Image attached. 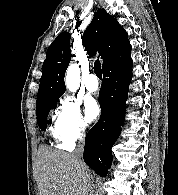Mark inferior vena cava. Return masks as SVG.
I'll return each instance as SVG.
<instances>
[{
    "label": "inferior vena cava",
    "instance_id": "inferior-vena-cava-1",
    "mask_svg": "<svg viewBox=\"0 0 178 195\" xmlns=\"http://www.w3.org/2000/svg\"><path fill=\"white\" fill-rule=\"evenodd\" d=\"M83 149H84V136H81L78 141L77 148L73 152V156L77 160L78 164L81 167V170L85 173L87 177H89L88 170L86 165L84 164L82 160V155H83ZM89 195H96L95 194V186L93 183L90 184V192Z\"/></svg>",
    "mask_w": 178,
    "mask_h": 195
}]
</instances>
